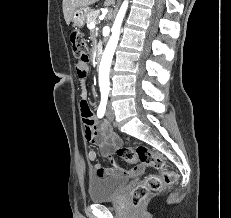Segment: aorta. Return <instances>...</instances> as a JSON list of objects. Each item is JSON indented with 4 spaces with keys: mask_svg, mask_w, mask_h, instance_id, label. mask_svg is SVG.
I'll list each match as a JSON object with an SVG mask.
<instances>
[{
    "mask_svg": "<svg viewBox=\"0 0 231 218\" xmlns=\"http://www.w3.org/2000/svg\"><path fill=\"white\" fill-rule=\"evenodd\" d=\"M127 7H128V0H125L114 21V24L111 30L112 35L107 43V46L104 50V53L101 59V63L99 66V86H100L101 91L109 90V86H110L109 72H110L111 62H112L115 49L118 44L121 24L125 16Z\"/></svg>",
    "mask_w": 231,
    "mask_h": 218,
    "instance_id": "obj_1",
    "label": "aorta"
}]
</instances>
